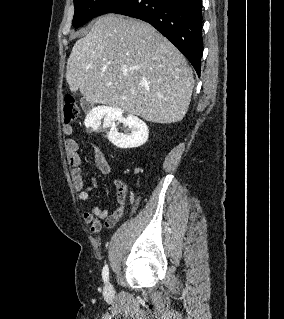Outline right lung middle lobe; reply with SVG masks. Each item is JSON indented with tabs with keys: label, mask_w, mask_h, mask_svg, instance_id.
<instances>
[{
	"label": "right lung middle lobe",
	"mask_w": 284,
	"mask_h": 319,
	"mask_svg": "<svg viewBox=\"0 0 284 319\" xmlns=\"http://www.w3.org/2000/svg\"><path fill=\"white\" fill-rule=\"evenodd\" d=\"M128 1L129 0H74L75 13L72 24L75 28H78L90 19L110 13Z\"/></svg>",
	"instance_id": "dd1d6c3e"
}]
</instances>
